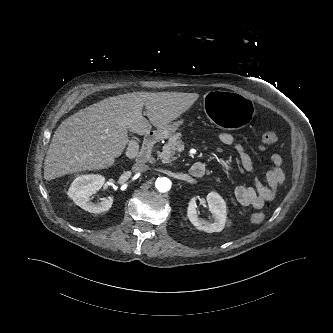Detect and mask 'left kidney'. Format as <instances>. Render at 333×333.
I'll return each mask as SVG.
<instances>
[{
    "label": "left kidney",
    "instance_id": "left-kidney-1",
    "mask_svg": "<svg viewBox=\"0 0 333 333\" xmlns=\"http://www.w3.org/2000/svg\"><path fill=\"white\" fill-rule=\"evenodd\" d=\"M196 197H193L187 208V216L190 222L198 229L207 233L220 232L224 229L226 223V203L224 199L216 192H210L206 199L209 211L213 215L214 222L210 223L198 217Z\"/></svg>",
    "mask_w": 333,
    "mask_h": 333
}]
</instances>
